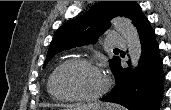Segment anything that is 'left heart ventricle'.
<instances>
[{
  "label": "left heart ventricle",
  "instance_id": "b2bd125f",
  "mask_svg": "<svg viewBox=\"0 0 171 110\" xmlns=\"http://www.w3.org/2000/svg\"><path fill=\"white\" fill-rule=\"evenodd\" d=\"M102 86L103 76L84 65H68L58 73L56 78L57 89L65 95H93Z\"/></svg>",
  "mask_w": 171,
  "mask_h": 110
}]
</instances>
